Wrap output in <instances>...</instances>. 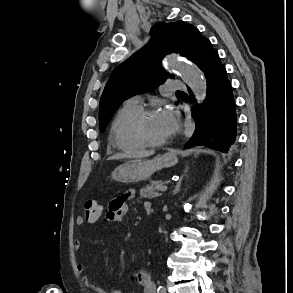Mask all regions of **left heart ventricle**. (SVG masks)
<instances>
[{
    "instance_id": "left-heart-ventricle-1",
    "label": "left heart ventricle",
    "mask_w": 293,
    "mask_h": 293,
    "mask_svg": "<svg viewBox=\"0 0 293 293\" xmlns=\"http://www.w3.org/2000/svg\"><path fill=\"white\" fill-rule=\"evenodd\" d=\"M145 135L153 141H163L170 137L171 131L163 112H156L148 116L143 123Z\"/></svg>"
}]
</instances>
